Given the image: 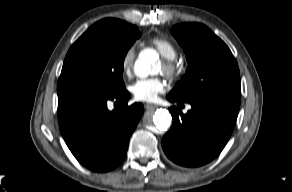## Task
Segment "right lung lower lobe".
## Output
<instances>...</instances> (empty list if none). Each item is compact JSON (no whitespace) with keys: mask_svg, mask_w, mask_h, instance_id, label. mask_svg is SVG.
Here are the masks:
<instances>
[{"mask_svg":"<svg viewBox=\"0 0 292 192\" xmlns=\"http://www.w3.org/2000/svg\"><path fill=\"white\" fill-rule=\"evenodd\" d=\"M57 92L59 128L75 158L95 172L119 166L143 114V105L128 106L130 93L126 89L118 94H103L90 88L64 86ZM110 100L123 107L109 111Z\"/></svg>","mask_w":292,"mask_h":192,"instance_id":"right-lung-lower-lobe-1","label":"right lung lower lobe"}]
</instances>
